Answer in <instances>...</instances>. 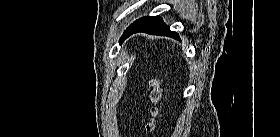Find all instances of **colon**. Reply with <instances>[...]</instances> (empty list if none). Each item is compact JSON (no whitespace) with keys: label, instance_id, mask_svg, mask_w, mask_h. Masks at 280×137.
<instances>
[{"label":"colon","instance_id":"obj_1","mask_svg":"<svg viewBox=\"0 0 280 137\" xmlns=\"http://www.w3.org/2000/svg\"><path fill=\"white\" fill-rule=\"evenodd\" d=\"M150 100L152 107L150 108V120L146 124V130L152 132L156 127V119L159 114L158 103L162 97V89L160 87V79L157 76H153L150 79Z\"/></svg>","mask_w":280,"mask_h":137}]
</instances>
